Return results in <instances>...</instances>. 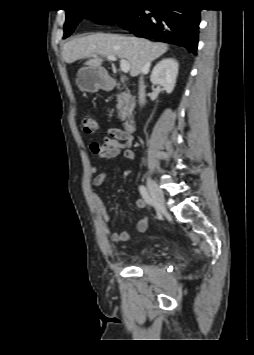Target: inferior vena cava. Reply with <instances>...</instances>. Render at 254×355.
<instances>
[{
    "instance_id": "1",
    "label": "inferior vena cava",
    "mask_w": 254,
    "mask_h": 355,
    "mask_svg": "<svg viewBox=\"0 0 254 355\" xmlns=\"http://www.w3.org/2000/svg\"><path fill=\"white\" fill-rule=\"evenodd\" d=\"M145 73H146V67L142 70V74ZM139 103L140 105H143L145 103V85H144L143 76H141L139 80Z\"/></svg>"
}]
</instances>
